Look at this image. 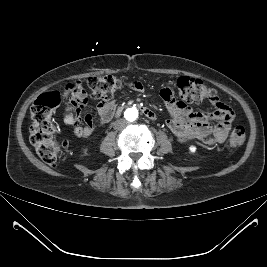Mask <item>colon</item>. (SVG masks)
<instances>
[{"instance_id":"obj_1","label":"colon","mask_w":267,"mask_h":267,"mask_svg":"<svg viewBox=\"0 0 267 267\" xmlns=\"http://www.w3.org/2000/svg\"><path fill=\"white\" fill-rule=\"evenodd\" d=\"M87 85L94 99L107 103L121 89L123 80L113 75L95 76L87 80ZM176 87L181 100L185 103L213 101L217 98L215 90L200 79L182 76L177 79ZM59 102V93L52 91L39 96L31 107L30 141L38 156L49 165H54L61 151L68 147L67 141L59 142L55 138L52 115ZM245 138L244 127L237 126L232 131L228 144L232 148L240 147Z\"/></svg>"}]
</instances>
